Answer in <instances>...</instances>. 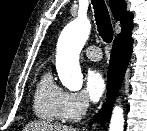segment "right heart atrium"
I'll use <instances>...</instances> for the list:
<instances>
[{
  "label": "right heart atrium",
  "instance_id": "obj_1",
  "mask_svg": "<svg viewBox=\"0 0 147 131\" xmlns=\"http://www.w3.org/2000/svg\"><path fill=\"white\" fill-rule=\"evenodd\" d=\"M89 107L87 95L82 91H65L60 103V116L65 122H75L82 118Z\"/></svg>",
  "mask_w": 147,
  "mask_h": 131
}]
</instances>
